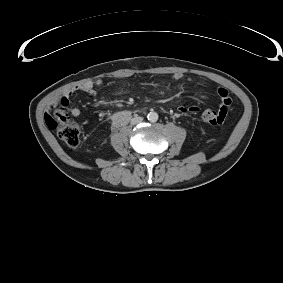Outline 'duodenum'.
<instances>
[{
    "instance_id": "410a0bca",
    "label": "duodenum",
    "mask_w": 283,
    "mask_h": 283,
    "mask_svg": "<svg viewBox=\"0 0 283 283\" xmlns=\"http://www.w3.org/2000/svg\"><path fill=\"white\" fill-rule=\"evenodd\" d=\"M133 113L124 111L119 115L118 125L122 126L126 121H128L132 117Z\"/></svg>"
}]
</instances>
